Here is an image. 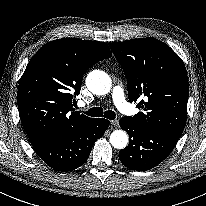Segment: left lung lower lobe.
<instances>
[{
	"instance_id": "0a47b994",
	"label": "left lung lower lobe",
	"mask_w": 206,
	"mask_h": 206,
	"mask_svg": "<svg viewBox=\"0 0 206 206\" xmlns=\"http://www.w3.org/2000/svg\"><path fill=\"white\" fill-rule=\"evenodd\" d=\"M119 124L130 137L128 146L119 151V159L132 170L143 171L157 166L172 152L179 139L171 134L141 127L128 117L121 118Z\"/></svg>"
}]
</instances>
